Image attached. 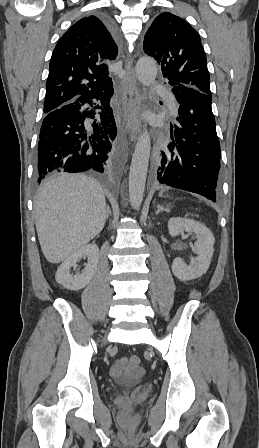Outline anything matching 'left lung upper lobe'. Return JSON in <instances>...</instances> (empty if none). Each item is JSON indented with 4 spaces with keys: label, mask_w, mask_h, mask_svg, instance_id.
<instances>
[{
    "label": "left lung upper lobe",
    "mask_w": 259,
    "mask_h": 448,
    "mask_svg": "<svg viewBox=\"0 0 259 448\" xmlns=\"http://www.w3.org/2000/svg\"><path fill=\"white\" fill-rule=\"evenodd\" d=\"M143 48L161 64L171 86L184 84L211 95L201 38L185 20L170 12L159 14L145 34Z\"/></svg>",
    "instance_id": "5c2ea615"
}]
</instances>
